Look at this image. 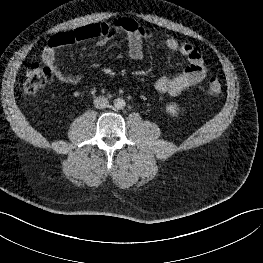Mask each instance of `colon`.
I'll use <instances>...</instances> for the list:
<instances>
[{"label": "colon", "mask_w": 263, "mask_h": 263, "mask_svg": "<svg viewBox=\"0 0 263 263\" xmlns=\"http://www.w3.org/2000/svg\"><path fill=\"white\" fill-rule=\"evenodd\" d=\"M53 79V73L48 66L33 63L26 72L24 89L29 94H36L45 88ZM223 90L221 82L212 77L207 84V92L211 96L221 94Z\"/></svg>", "instance_id": "obj_1"}]
</instances>
